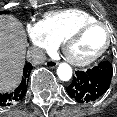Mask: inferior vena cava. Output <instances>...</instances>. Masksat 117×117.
Listing matches in <instances>:
<instances>
[{
	"mask_svg": "<svg viewBox=\"0 0 117 117\" xmlns=\"http://www.w3.org/2000/svg\"><path fill=\"white\" fill-rule=\"evenodd\" d=\"M27 60L35 65L41 64L46 61V54L42 49L33 47L27 52Z\"/></svg>",
	"mask_w": 117,
	"mask_h": 117,
	"instance_id": "1",
	"label": "inferior vena cava"
}]
</instances>
